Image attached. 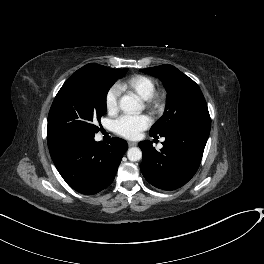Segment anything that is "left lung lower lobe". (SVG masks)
Wrapping results in <instances>:
<instances>
[{
  "mask_svg": "<svg viewBox=\"0 0 264 264\" xmlns=\"http://www.w3.org/2000/svg\"><path fill=\"white\" fill-rule=\"evenodd\" d=\"M210 133V124L187 122L165 135L163 148L157 151L150 141H142L141 172L153 186L174 190L186 184L196 173Z\"/></svg>",
  "mask_w": 264,
  "mask_h": 264,
  "instance_id": "obj_1",
  "label": "left lung lower lobe"
}]
</instances>
